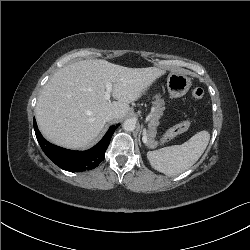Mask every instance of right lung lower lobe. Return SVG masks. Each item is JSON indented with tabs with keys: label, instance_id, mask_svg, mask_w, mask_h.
Returning a JSON list of instances; mask_svg holds the SVG:
<instances>
[{
	"label": "right lung lower lobe",
	"instance_id": "obj_1",
	"mask_svg": "<svg viewBox=\"0 0 250 250\" xmlns=\"http://www.w3.org/2000/svg\"><path fill=\"white\" fill-rule=\"evenodd\" d=\"M116 126H111L102 140L87 151H73L55 146L46 141L38 130L34 119V129L37 140L47 157L63 170L70 172H81L91 170L104 160L105 151L110 143Z\"/></svg>",
	"mask_w": 250,
	"mask_h": 250
}]
</instances>
